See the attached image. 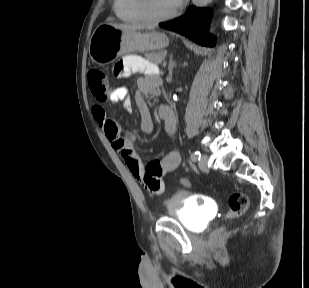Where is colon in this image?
<instances>
[{
	"label": "colon",
	"mask_w": 309,
	"mask_h": 288,
	"mask_svg": "<svg viewBox=\"0 0 309 288\" xmlns=\"http://www.w3.org/2000/svg\"><path fill=\"white\" fill-rule=\"evenodd\" d=\"M88 85L93 97L99 101H105L109 95V85L106 74L100 69H91L88 72ZM180 184L184 187L190 185L189 179L183 177L180 179ZM229 218H235L242 215L249 205V200L246 194L234 192L229 196Z\"/></svg>",
	"instance_id": "obj_1"
}]
</instances>
